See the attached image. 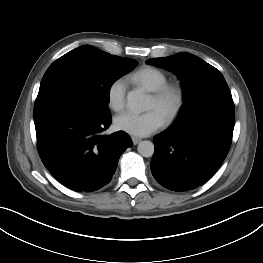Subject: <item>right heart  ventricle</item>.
Wrapping results in <instances>:
<instances>
[{"mask_svg":"<svg viewBox=\"0 0 263 263\" xmlns=\"http://www.w3.org/2000/svg\"><path fill=\"white\" fill-rule=\"evenodd\" d=\"M128 80L153 92L163 85L167 84V75L158 68L152 66H143L128 76Z\"/></svg>","mask_w":263,"mask_h":263,"instance_id":"1","label":"right heart ventricle"}]
</instances>
